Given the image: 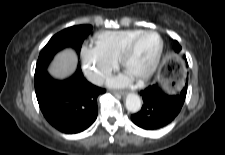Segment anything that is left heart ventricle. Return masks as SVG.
Listing matches in <instances>:
<instances>
[{"instance_id":"obj_1","label":"left heart ventricle","mask_w":225,"mask_h":155,"mask_svg":"<svg viewBox=\"0 0 225 155\" xmlns=\"http://www.w3.org/2000/svg\"><path fill=\"white\" fill-rule=\"evenodd\" d=\"M159 46L160 41L157 35L148 34L144 36L127 60L126 72L135 78L143 75L153 63Z\"/></svg>"}]
</instances>
